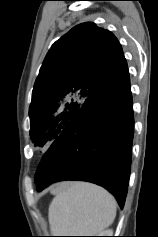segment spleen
<instances>
[{
    "label": "spleen",
    "instance_id": "1",
    "mask_svg": "<svg viewBox=\"0 0 158 237\" xmlns=\"http://www.w3.org/2000/svg\"><path fill=\"white\" fill-rule=\"evenodd\" d=\"M116 201L104 188L72 182L62 188L49 206L54 236H96L114 221Z\"/></svg>",
    "mask_w": 158,
    "mask_h": 237
}]
</instances>
